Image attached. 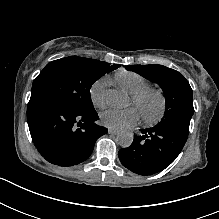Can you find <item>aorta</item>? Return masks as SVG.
I'll use <instances>...</instances> for the list:
<instances>
[{"label":"aorta","instance_id":"obj_1","mask_svg":"<svg viewBox=\"0 0 219 219\" xmlns=\"http://www.w3.org/2000/svg\"><path fill=\"white\" fill-rule=\"evenodd\" d=\"M107 102L109 105L123 108L128 104V98L126 95L118 90L110 89L106 93ZM133 133L127 130H123L118 133L116 141L122 148L130 147L133 142Z\"/></svg>","mask_w":219,"mask_h":219}]
</instances>
